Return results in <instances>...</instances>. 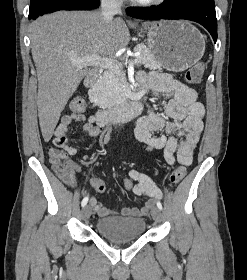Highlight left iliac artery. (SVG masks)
I'll return each instance as SVG.
<instances>
[{
    "label": "left iliac artery",
    "instance_id": "44dca946",
    "mask_svg": "<svg viewBox=\"0 0 247 280\" xmlns=\"http://www.w3.org/2000/svg\"><path fill=\"white\" fill-rule=\"evenodd\" d=\"M157 207L160 209V210H162V204L160 203V201H157Z\"/></svg>",
    "mask_w": 247,
    "mask_h": 280
}]
</instances>
